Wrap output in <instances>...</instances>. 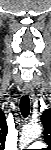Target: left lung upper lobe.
<instances>
[{
  "mask_svg": "<svg viewBox=\"0 0 51 150\" xmlns=\"http://www.w3.org/2000/svg\"><path fill=\"white\" fill-rule=\"evenodd\" d=\"M41 121L44 126V141L51 145V109H47L41 115Z\"/></svg>",
  "mask_w": 51,
  "mask_h": 150,
  "instance_id": "1",
  "label": "left lung upper lobe"
}]
</instances>
